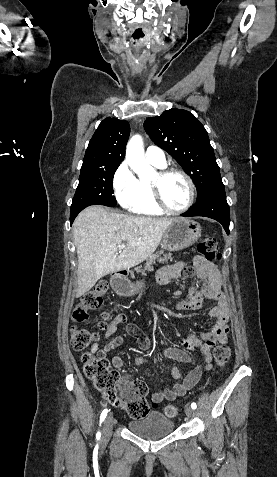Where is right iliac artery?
<instances>
[{"instance_id":"82829eb1","label":"right iliac artery","mask_w":277,"mask_h":477,"mask_svg":"<svg viewBox=\"0 0 277 477\" xmlns=\"http://www.w3.org/2000/svg\"><path fill=\"white\" fill-rule=\"evenodd\" d=\"M108 413V409H104L103 412L101 413V416H100V424L104 421L106 415ZM101 434L100 432L97 433V438H100Z\"/></svg>"}]
</instances>
